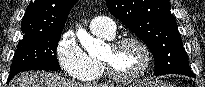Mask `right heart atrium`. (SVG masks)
<instances>
[{
	"label": "right heart atrium",
	"mask_w": 205,
	"mask_h": 87,
	"mask_svg": "<svg viewBox=\"0 0 205 87\" xmlns=\"http://www.w3.org/2000/svg\"><path fill=\"white\" fill-rule=\"evenodd\" d=\"M55 54L60 67L71 78L81 79L92 72L90 58L72 32L62 34L56 44Z\"/></svg>",
	"instance_id": "d8ad5b80"
}]
</instances>
